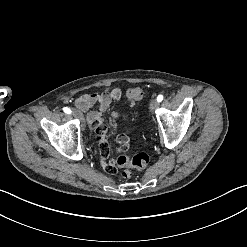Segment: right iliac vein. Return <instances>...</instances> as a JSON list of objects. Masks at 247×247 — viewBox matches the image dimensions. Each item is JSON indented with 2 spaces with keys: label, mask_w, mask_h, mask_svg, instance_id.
I'll list each match as a JSON object with an SVG mask.
<instances>
[{
  "label": "right iliac vein",
  "mask_w": 247,
  "mask_h": 247,
  "mask_svg": "<svg viewBox=\"0 0 247 247\" xmlns=\"http://www.w3.org/2000/svg\"><path fill=\"white\" fill-rule=\"evenodd\" d=\"M73 115L80 119L82 128L85 129V127H86L85 122H84L85 120H84V117L82 116V114L78 110L74 109Z\"/></svg>",
  "instance_id": "obj_1"
}]
</instances>
